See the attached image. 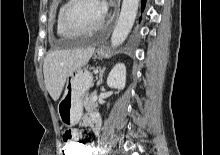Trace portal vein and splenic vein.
<instances>
[{
  "instance_id": "1",
  "label": "portal vein and splenic vein",
  "mask_w": 220,
  "mask_h": 155,
  "mask_svg": "<svg viewBox=\"0 0 220 155\" xmlns=\"http://www.w3.org/2000/svg\"><path fill=\"white\" fill-rule=\"evenodd\" d=\"M96 99H97V93H94L93 101H96Z\"/></svg>"
}]
</instances>
